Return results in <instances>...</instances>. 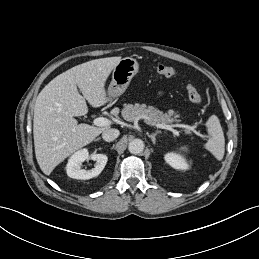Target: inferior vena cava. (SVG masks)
<instances>
[{"instance_id":"inferior-vena-cava-1","label":"inferior vena cava","mask_w":259,"mask_h":259,"mask_svg":"<svg viewBox=\"0 0 259 259\" xmlns=\"http://www.w3.org/2000/svg\"><path fill=\"white\" fill-rule=\"evenodd\" d=\"M120 132L117 129H107L102 133V138L107 141L111 142L115 140L119 136Z\"/></svg>"}]
</instances>
